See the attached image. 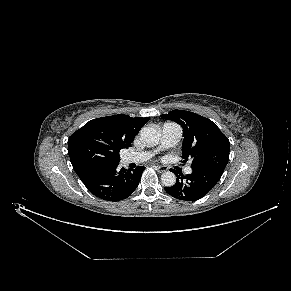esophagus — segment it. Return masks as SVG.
<instances>
[{
	"mask_svg": "<svg viewBox=\"0 0 291 291\" xmlns=\"http://www.w3.org/2000/svg\"><path fill=\"white\" fill-rule=\"evenodd\" d=\"M155 169L159 172V173H163L167 170V168L165 166H155Z\"/></svg>",
	"mask_w": 291,
	"mask_h": 291,
	"instance_id": "1",
	"label": "esophagus"
}]
</instances>
